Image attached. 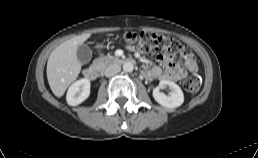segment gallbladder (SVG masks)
Returning a JSON list of instances; mask_svg holds the SVG:
<instances>
[{
  "label": "gallbladder",
  "instance_id": "gallbladder-1",
  "mask_svg": "<svg viewBox=\"0 0 258 158\" xmlns=\"http://www.w3.org/2000/svg\"><path fill=\"white\" fill-rule=\"evenodd\" d=\"M77 58L81 64H87L92 58V51L88 45L82 44L78 46Z\"/></svg>",
  "mask_w": 258,
  "mask_h": 158
}]
</instances>
